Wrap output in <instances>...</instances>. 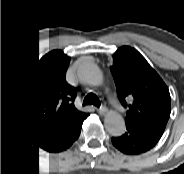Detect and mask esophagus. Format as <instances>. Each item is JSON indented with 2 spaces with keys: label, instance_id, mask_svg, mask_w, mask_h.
<instances>
[{
  "label": "esophagus",
  "instance_id": "34e87169",
  "mask_svg": "<svg viewBox=\"0 0 184 174\" xmlns=\"http://www.w3.org/2000/svg\"><path fill=\"white\" fill-rule=\"evenodd\" d=\"M107 111V107L105 105H101V107L99 108V112L104 113Z\"/></svg>",
  "mask_w": 184,
  "mask_h": 174
}]
</instances>
